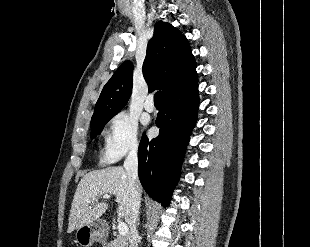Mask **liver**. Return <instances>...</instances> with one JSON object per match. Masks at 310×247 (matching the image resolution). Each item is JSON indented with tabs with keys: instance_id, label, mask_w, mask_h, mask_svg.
Here are the masks:
<instances>
[{
	"instance_id": "obj_1",
	"label": "liver",
	"mask_w": 310,
	"mask_h": 247,
	"mask_svg": "<svg viewBox=\"0 0 310 247\" xmlns=\"http://www.w3.org/2000/svg\"><path fill=\"white\" fill-rule=\"evenodd\" d=\"M116 197L117 214L128 223L130 214V185L126 171L121 166L93 170L80 180L71 204L68 233L99 219L108 209V204L98 202L100 196Z\"/></svg>"
}]
</instances>
